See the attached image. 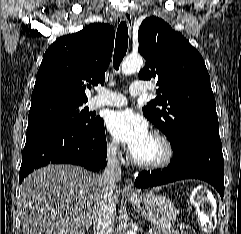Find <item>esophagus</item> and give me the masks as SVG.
I'll use <instances>...</instances> for the list:
<instances>
[{
  "mask_svg": "<svg viewBox=\"0 0 241 234\" xmlns=\"http://www.w3.org/2000/svg\"><path fill=\"white\" fill-rule=\"evenodd\" d=\"M122 20L126 22L129 29L132 27L133 22V11L132 9L126 11L124 14H122ZM124 193L126 195L135 196L137 195V191L133 185V182L131 179H127L124 187Z\"/></svg>",
  "mask_w": 241,
  "mask_h": 234,
  "instance_id": "obj_1",
  "label": "esophagus"
}]
</instances>
